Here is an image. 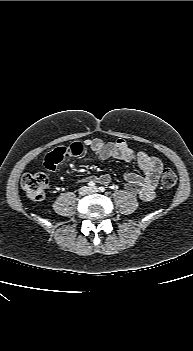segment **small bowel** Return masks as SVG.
<instances>
[{
	"instance_id": "1",
	"label": "small bowel",
	"mask_w": 193,
	"mask_h": 351,
	"mask_svg": "<svg viewBox=\"0 0 193 351\" xmlns=\"http://www.w3.org/2000/svg\"><path fill=\"white\" fill-rule=\"evenodd\" d=\"M86 149H90L99 160H123L135 163L142 174L127 171L125 177V191L131 195H138L143 200H151L156 192L158 180L163 170L162 162L145 152H134L124 139L116 141H104L99 138L76 141L70 144H62L53 149L45 156L44 168L47 171H54L63 160L73 162ZM97 182L107 185L111 182L108 174L100 176H85L75 180L76 183Z\"/></svg>"
}]
</instances>
